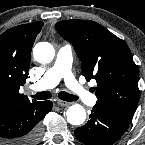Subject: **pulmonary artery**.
I'll return each mask as SVG.
<instances>
[{"instance_id": "1", "label": "pulmonary artery", "mask_w": 145, "mask_h": 145, "mask_svg": "<svg viewBox=\"0 0 145 145\" xmlns=\"http://www.w3.org/2000/svg\"><path fill=\"white\" fill-rule=\"evenodd\" d=\"M71 65L72 48L70 45H65L59 49L54 65L31 88L33 90L43 91L55 87L61 80H64L72 95L76 96L85 104L94 105L96 103V97L86 87L78 83L71 72Z\"/></svg>"}]
</instances>
